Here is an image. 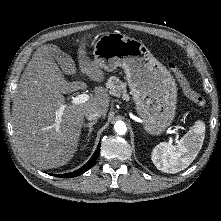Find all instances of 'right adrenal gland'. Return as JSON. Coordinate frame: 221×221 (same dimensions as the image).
Wrapping results in <instances>:
<instances>
[{
	"instance_id": "1",
	"label": "right adrenal gland",
	"mask_w": 221,
	"mask_h": 221,
	"mask_svg": "<svg viewBox=\"0 0 221 221\" xmlns=\"http://www.w3.org/2000/svg\"><path fill=\"white\" fill-rule=\"evenodd\" d=\"M96 123H97V121H92V122H89L87 124H84V128H89L88 129L89 132L87 134V138L90 136L91 132L93 131V125L96 124Z\"/></svg>"
}]
</instances>
